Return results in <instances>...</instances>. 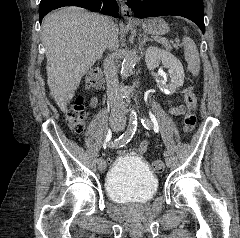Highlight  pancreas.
<instances>
[{
	"label": "pancreas",
	"mask_w": 240,
	"mask_h": 238,
	"mask_svg": "<svg viewBox=\"0 0 240 238\" xmlns=\"http://www.w3.org/2000/svg\"><path fill=\"white\" fill-rule=\"evenodd\" d=\"M168 51L172 50V46L168 40L162 41L161 39L158 40Z\"/></svg>",
	"instance_id": "cf45deb5"
}]
</instances>
